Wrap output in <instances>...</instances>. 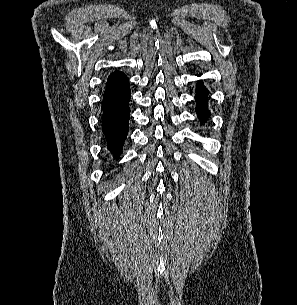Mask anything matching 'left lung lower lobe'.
<instances>
[{
  "label": "left lung lower lobe",
  "mask_w": 297,
  "mask_h": 305,
  "mask_svg": "<svg viewBox=\"0 0 297 305\" xmlns=\"http://www.w3.org/2000/svg\"><path fill=\"white\" fill-rule=\"evenodd\" d=\"M209 91L204 87V84L202 82L197 83V89H196V101H197V108L196 112L198 117L203 121L206 122L207 116L210 115V112L207 108V97H208Z\"/></svg>",
  "instance_id": "obj_1"
}]
</instances>
